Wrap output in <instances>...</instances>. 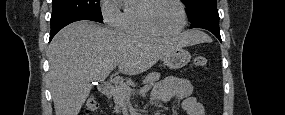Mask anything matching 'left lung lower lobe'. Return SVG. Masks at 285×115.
Listing matches in <instances>:
<instances>
[{
  "instance_id": "obj_1",
  "label": "left lung lower lobe",
  "mask_w": 285,
  "mask_h": 115,
  "mask_svg": "<svg viewBox=\"0 0 285 115\" xmlns=\"http://www.w3.org/2000/svg\"><path fill=\"white\" fill-rule=\"evenodd\" d=\"M191 22L190 28H203L212 32L220 41L219 14L217 9L208 10L197 15Z\"/></svg>"
}]
</instances>
